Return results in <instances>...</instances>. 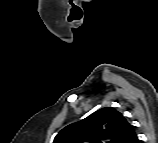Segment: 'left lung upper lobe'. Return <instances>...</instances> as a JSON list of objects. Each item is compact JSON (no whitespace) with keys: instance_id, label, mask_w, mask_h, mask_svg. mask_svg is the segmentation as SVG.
<instances>
[{"instance_id":"1","label":"left lung upper lobe","mask_w":158,"mask_h":143,"mask_svg":"<svg viewBox=\"0 0 158 143\" xmlns=\"http://www.w3.org/2000/svg\"><path fill=\"white\" fill-rule=\"evenodd\" d=\"M133 126L115 108L97 110L63 128L53 143H137Z\"/></svg>"}]
</instances>
